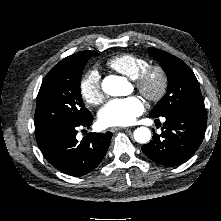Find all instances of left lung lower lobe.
<instances>
[{
    "label": "left lung lower lobe",
    "instance_id": "left-lung-lower-lobe-1",
    "mask_svg": "<svg viewBox=\"0 0 221 221\" xmlns=\"http://www.w3.org/2000/svg\"><path fill=\"white\" fill-rule=\"evenodd\" d=\"M164 117L162 133L153 132L152 140L141 149L154 162L173 167L186 162L199 148L207 126V115L206 111L180 110Z\"/></svg>",
    "mask_w": 221,
    "mask_h": 221
}]
</instances>
